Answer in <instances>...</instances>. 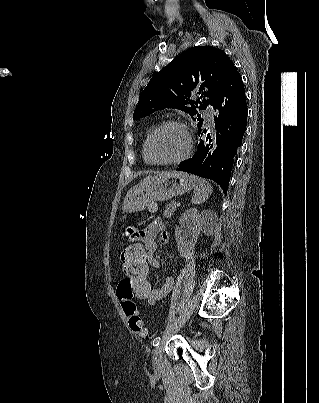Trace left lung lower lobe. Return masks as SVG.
Returning a JSON list of instances; mask_svg holds the SVG:
<instances>
[{
    "mask_svg": "<svg viewBox=\"0 0 319 403\" xmlns=\"http://www.w3.org/2000/svg\"><path fill=\"white\" fill-rule=\"evenodd\" d=\"M212 106L218 110V115L214 117L216 141L212 143L208 128L202 126L198 134L208 133L206 141L200 137L197 152L182 162L177 170L212 179L227 194L233 158L241 145L248 114L243 81L234 64L217 91Z\"/></svg>",
    "mask_w": 319,
    "mask_h": 403,
    "instance_id": "obj_1",
    "label": "left lung lower lobe"
}]
</instances>
